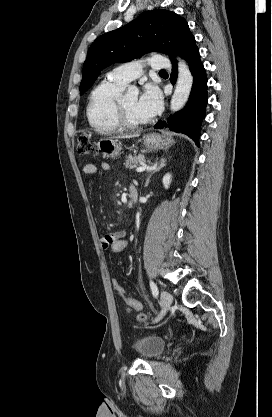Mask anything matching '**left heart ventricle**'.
<instances>
[{
  "label": "left heart ventricle",
  "mask_w": 272,
  "mask_h": 417,
  "mask_svg": "<svg viewBox=\"0 0 272 417\" xmlns=\"http://www.w3.org/2000/svg\"><path fill=\"white\" fill-rule=\"evenodd\" d=\"M137 97L126 96L123 98V106L128 118L135 123H141L147 121L137 110Z\"/></svg>",
  "instance_id": "left-heart-ventricle-1"
}]
</instances>
